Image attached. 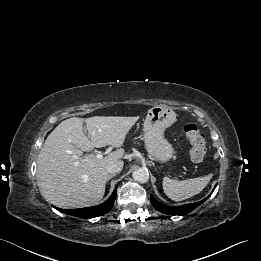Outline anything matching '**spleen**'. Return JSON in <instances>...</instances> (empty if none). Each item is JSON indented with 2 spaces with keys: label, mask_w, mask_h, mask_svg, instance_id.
<instances>
[{
  "label": "spleen",
  "mask_w": 261,
  "mask_h": 261,
  "mask_svg": "<svg viewBox=\"0 0 261 261\" xmlns=\"http://www.w3.org/2000/svg\"><path fill=\"white\" fill-rule=\"evenodd\" d=\"M212 174L207 176L178 181L163 178L164 193L174 201H182L200 193L209 183Z\"/></svg>",
  "instance_id": "1"
}]
</instances>
